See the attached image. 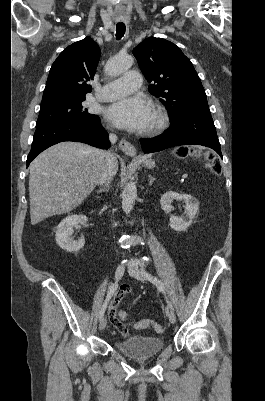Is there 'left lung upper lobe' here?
Returning a JSON list of instances; mask_svg holds the SVG:
<instances>
[{"label":"left lung upper lobe","instance_id":"5c2ea615","mask_svg":"<svg viewBox=\"0 0 265 401\" xmlns=\"http://www.w3.org/2000/svg\"><path fill=\"white\" fill-rule=\"evenodd\" d=\"M133 54L148 82L149 92L162 97L171 120L189 113H210L206 94L191 61L181 49L162 38H147Z\"/></svg>","mask_w":265,"mask_h":401}]
</instances>
